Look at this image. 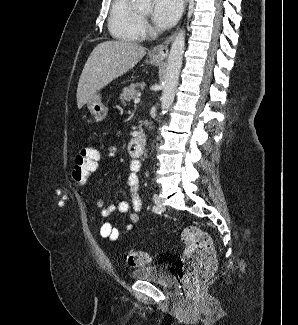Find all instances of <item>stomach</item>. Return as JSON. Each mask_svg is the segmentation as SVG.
Returning <instances> with one entry per match:
<instances>
[{
  "instance_id": "1",
  "label": "stomach",
  "mask_w": 298,
  "mask_h": 325,
  "mask_svg": "<svg viewBox=\"0 0 298 325\" xmlns=\"http://www.w3.org/2000/svg\"><path fill=\"white\" fill-rule=\"evenodd\" d=\"M165 58H153V56H148L146 58V64H154V66H158V64H162ZM86 106L92 114L95 122H100L103 118H106L108 114V106L103 102V94L102 92H95L93 96H91L90 100L86 102Z\"/></svg>"
}]
</instances>
